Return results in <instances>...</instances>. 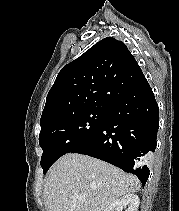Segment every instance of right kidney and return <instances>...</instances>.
<instances>
[{"instance_id": "right-kidney-1", "label": "right kidney", "mask_w": 179, "mask_h": 211, "mask_svg": "<svg viewBox=\"0 0 179 211\" xmlns=\"http://www.w3.org/2000/svg\"><path fill=\"white\" fill-rule=\"evenodd\" d=\"M139 197L136 194H127L122 198L113 201L105 211H122L123 208H128L126 211H137L139 207Z\"/></svg>"}]
</instances>
